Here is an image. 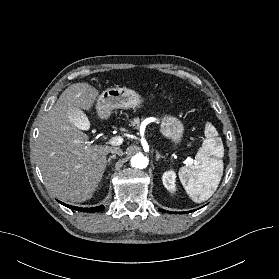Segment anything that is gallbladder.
<instances>
[{"instance_id":"bac80fb5","label":"gallbladder","mask_w":279,"mask_h":279,"mask_svg":"<svg viewBox=\"0 0 279 279\" xmlns=\"http://www.w3.org/2000/svg\"><path fill=\"white\" fill-rule=\"evenodd\" d=\"M68 116L72 124H74L79 128H84V124L86 123V120L83 112L80 109L72 107V109L69 110L68 112Z\"/></svg>"}]
</instances>
